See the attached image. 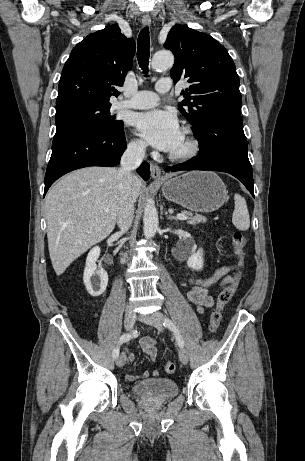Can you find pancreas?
Returning <instances> with one entry per match:
<instances>
[{
	"mask_svg": "<svg viewBox=\"0 0 305 461\" xmlns=\"http://www.w3.org/2000/svg\"><path fill=\"white\" fill-rule=\"evenodd\" d=\"M182 213L190 216V220L187 221V223H189V224L195 225V224H198L200 222H206V218L204 216H201V215L193 216L192 213L187 212V211H183Z\"/></svg>",
	"mask_w": 305,
	"mask_h": 461,
	"instance_id": "pancreas-1",
	"label": "pancreas"
}]
</instances>
